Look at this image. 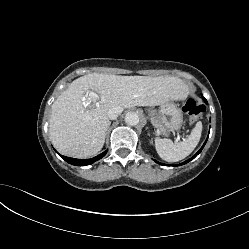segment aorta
<instances>
[{
    "mask_svg": "<svg viewBox=\"0 0 249 249\" xmlns=\"http://www.w3.org/2000/svg\"><path fill=\"white\" fill-rule=\"evenodd\" d=\"M124 120L126 124L130 126H135L139 123V115L135 112H129L125 115Z\"/></svg>",
    "mask_w": 249,
    "mask_h": 249,
    "instance_id": "obj_1",
    "label": "aorta"
}]
</instances>
